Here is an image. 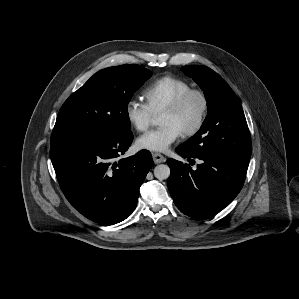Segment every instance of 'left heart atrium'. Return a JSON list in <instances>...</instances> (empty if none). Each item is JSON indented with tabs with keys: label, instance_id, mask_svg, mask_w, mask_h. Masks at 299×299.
<instances>
[{
	"label": "left heart atrium",
	"instance_id": "39dd6f15",
	"mask_svg": "<svg viewBox=\"0 0 299 299\" xmlns=\"http://www.w3.org/2000/svg\"><path fill=\"white\" fill-rule=\"evenodd\" d=\"M181 135V130L174 125H166L153 129L136 140V146L141 150L153 152L166 151Z\"/></svg>",
	"mask_w": 299,
	"mask_h": 299
}]
</instances>
